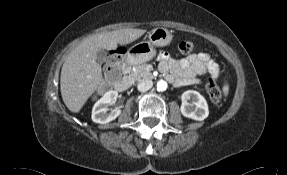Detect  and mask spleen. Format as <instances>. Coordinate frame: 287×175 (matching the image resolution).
I'll list each match as a JSON object with an SVG mask.
<instances>
[{"instance_id":"1","label":"spleen","mask_w":287,"mask_h":175,"mask_svg":"<svg viewBox=\"0 0 287 175\" xmlns=\"http://www.w3.org/2000/svg\"><path fill=\"white\" fill-rule=\"evenodd\" d=\"M223 93L225 96L229 93V85L227 83L223 86Z\"/></svg>"}]
</instances>
